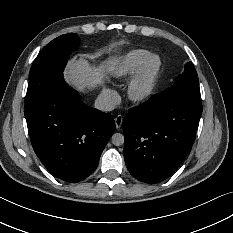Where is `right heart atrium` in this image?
<instances>
[{
    "label": "right heart atrium",
    "instance_id": "d8ad5b80",
    "mask_svg": "<svg viewBox=\"0 0 233 233\" xmlns=\"http://www.w3.org/2000/svg\"><path fill=\"white\" fill-rule=\"evenodd\" d=\"M101 95L103 99L105 100V102L110 106L116 105L119 101V95L116 93V91H114L111 88L105 87L102 90Z\"/></svg>",
    "mask_w": 233,
    "mask_h": 233
}]
</instances>
